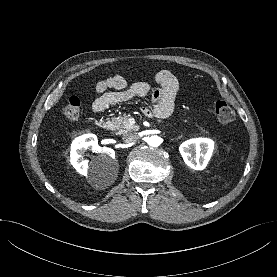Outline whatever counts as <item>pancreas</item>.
Masks as SVG:
<instances>
[{"instance_id":"pancreas-1","label":"pancreas","mask_w":277,"mask_h":277,"mask_svg":"<svg viewBox=\"0 0 277 277\" xmlns=\"http://www.w3.org/2000/svg\"><path fill=\"white\" fill-rule=\"evenodd\" d=\"M112 124L113 130L117 131V134H125L138 129L136 126L130 125L126 114L112 118Z\"/></svg>"}]
</instances>
